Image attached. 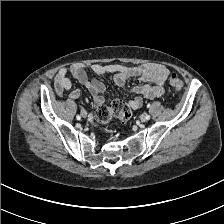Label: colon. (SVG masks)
Wrapping results in <instances>:
<instances>
[{
    "instance_id": "colon-1",
    "label": "colon",
    "mask_w": 224,
    "mask_h": 224,
    "mask_svg": "<svg viewBox=\"0 0 224 224\" xmlns=\"http://www.w3.org/2000/svg\"><path fill=\"white\" fill-rule=\"evenodd\" d=\"M169 85L175 92H180L183 88L182 80L176 75L169 76ZM127 121L131 117V110L128 105L120 99L111 102L110 105H101L97 108L96 119L101 124H108L113 118Z\"/></svg>"
}]
</instances>
